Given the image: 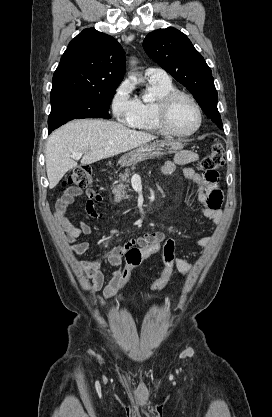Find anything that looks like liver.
I'll return each mask as SVG.
<instances>
[{"label":"liver","mask_w":272,"mask_h":417,"mask_svg":"<svg viewBox=\"0 0 272 417\" xmlns=\"http://www.w3.org/2000/svg\"><path fill=\"white\" fill-rule=\"evenodd\" d=\"M156 139V136L129 129L120 123L96 119L73 120L48 138L45 158L49 188L77 166L72 153L83 152L82 165L113 157Z\"/></svg>","instance_id":"obj_1"}]
</instances>
